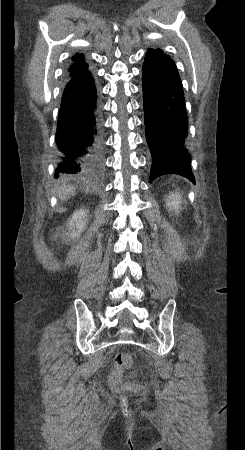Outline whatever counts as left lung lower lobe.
I'll list each match as a JSON object with an SVG mask.
<instances>
[{"label": "left lung lower lobe", "instance_id": "obj_1", "mask_svg": "<svg viewBox=\"0 0 245 450\" xmlns=\"http://www.w3.org/2000/svg\"><path fill=\"white\" fill-rule=\"evenodd\" d=\"M145 132L152 155L150 183L178 174L195 183L186 148L188 116L182 82L169 57L145 60L142 75Z\"/></svg>", "mask_w": 245, "mask_h": 450}]
</instances>
